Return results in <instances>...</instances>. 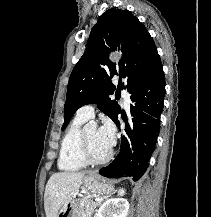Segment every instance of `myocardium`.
Masks as SVG:
<instances>
[{"instance_id":"f54148a6","label":"myocardium","mask_w":211,"mask_h":217,"mask_svg":"<svg viewBox=\"0 0 211 217\" xmlns=\"http://www.w3.org/2000/svg\"><path fill=\"white\" fill-rule=\"evenodd\" d=\"M79 152L82 160L88 165H101L107 163L113 157V150L110 149L109 152L101 157H94L89 149L88 139L86 135V130H83L80 135Z\"/></svg>"}]
</instances>
